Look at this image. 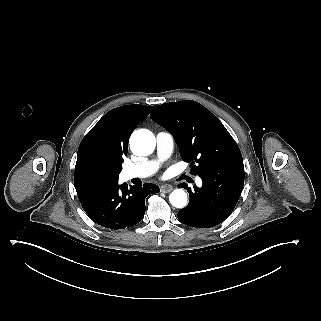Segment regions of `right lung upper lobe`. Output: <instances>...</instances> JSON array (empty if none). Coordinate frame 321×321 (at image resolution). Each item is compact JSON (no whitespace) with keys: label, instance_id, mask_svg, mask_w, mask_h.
<instances>
[{"label":"right lung upper lobe","instance_id":"right-lung-upper-lobe-1","mask_svg":"<svg viewBox=\"0 0 321 321\" xmlns=\"http://www.w3.org/2000/svg\"><path fill=\"white\" fill-rule=\"evenodd\" d=\"M145 105H126L106 113L81 141L75 165V187L90 182H115V169L99 167L97 158L112 164L127 155L131 133L152 111Z\"/></svg>","mask_w":321,"mask_h":321}]
</instances>
